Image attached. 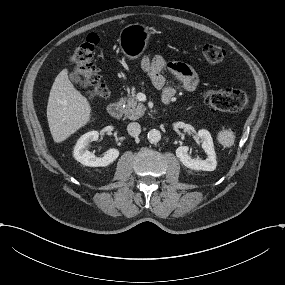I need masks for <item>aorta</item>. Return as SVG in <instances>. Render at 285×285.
I'll use <instances>...</instances> for the list:
<instances>
[{
	"mask_svg": "<svg viewBox=\"0 0 285 285\" xmlns=\"http://www.w3.org/2000/svg\"><path fill=\"white\" fill-rule=\"evenodd\" d=\"M148 141L152 144H156L161 140V133L159 130L152 129L147 134Z\"/></svg>",
	"mask_w": 285,
	"mask_h": 285,
	"instance_id": "1",
	"label": "aorta"
}]
</instances>
